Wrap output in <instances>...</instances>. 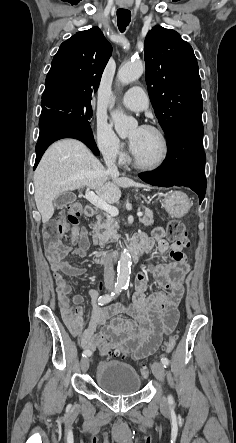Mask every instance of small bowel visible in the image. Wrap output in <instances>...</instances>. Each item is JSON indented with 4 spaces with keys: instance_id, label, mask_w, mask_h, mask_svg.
<instances>
[{
    "instance_id": "c3829d8e",
    "label": "small bowel",
    "mask_w": 236,
    "mask_h": 443,
    "mask_svg": "<svg viewBox=\"0 0 236 443\" xmlns=\"http://www.w3.org/2000/svg\"><path fill=\"white\" fill-rule=\"evenodd\" d=\"M164 236V230L158 227L153 230L151 238L146 235L136 236L132 246L141 251L151 252L157 243L160 257L164 258L168 254L173 262L158 263L149 273L141 272L137 275L131 305L116 304L110 307L94 305L90 321L86 326L82 308L85 299L82 295L71 296V286L65 280L66 275H84L85 268L71 265L48 254L62 318L71 335L84 349L92 352L105 344H117L126 346L136 359H141L151 355L162 339L174 331L178 321L177 308L183 294L182 280L190 267L182 247L176 243L169 245ZM71 242L76 248L61 245L64 254L71 253L77 258L87 255L89 238L86 229L72 230ZM149 275L168 292L153 291L148 294ZM101 289L102 284L98 283L95 289L88 291L92 301L98 299ZM122 312L129 313L133 320L120 317L118 314ZM107 322H110L109 325L103 327Z\"/></svg>"
}]
</instances>
